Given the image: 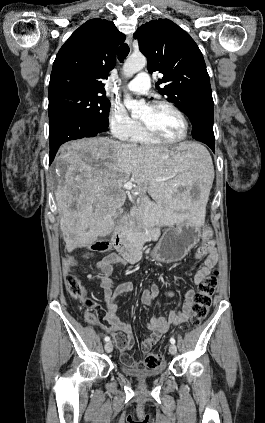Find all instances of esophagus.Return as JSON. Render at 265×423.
<instances>
[{"mask_svg": "<svg viewBox=\"0 0 265 423\" xmlns=\"http://www.w3.org/2000/svg\"><path fill=\"white\" fill-rule=\"evenodd\" d=\"M126 43L129 45V46H131V44H132V35H128L127 37H126Z\"/></svg>", "mask_w": 265, "mask_h": 423, "instance_id": "esophagus-1", "label": "esophagus"}]
</instances>
